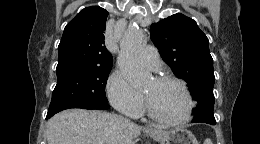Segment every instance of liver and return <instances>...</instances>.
I'll list each match as a JSON object with an SVG mask.
<instances>
[{"label": "liver", "instance_id": "1", "mask_svg": "<svg viewBox=\"0 0 260 144\" xmlns=\"http://www.w3.org/2000/svg\"><path fill=\"white\" fill-rule=\"evenodd\" d=\"M141 130L119 115L68 109L48 121L46 135L48 144H135Z\"/></svg>", "mask_w": 260, "mask_h": 144}]
</instances>
